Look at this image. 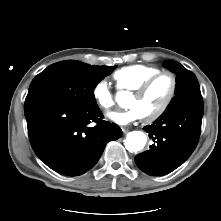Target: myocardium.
Masks as SVG:
<instances>
[{
    "instance_id": "1",
    "label": "myocardium",
    "mask_w": 221,
    "mask_h": 221,
    "mask_svg": "<svg viewBox=\"0 0 221 221\" xmlns=\"http://www.w3.org/2000/svg\"><path fill=\"white\" fill-rule=\"evenodd\" d=\"M167 75L170 78V90L168 93V96L166 98V100L164 101V103L152 114L145 116V117H141L142 120L146 123H151L156 121L157 119H159L170 107V105L172 104L175 96H176V92H177V86H178V81H177V77L176 75L169 70H165V71H160L158 73H156L155 75L151 76L150 78H148L145 82H143L137 89L133 90V95L141 97L144 96L148 90L151 88V86L162 76Z\"/></svg>"
}]
</instances>
